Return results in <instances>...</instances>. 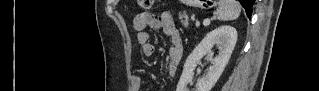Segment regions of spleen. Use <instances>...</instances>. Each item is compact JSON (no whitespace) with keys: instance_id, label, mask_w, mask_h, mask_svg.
Returning a JSON list of instances; mask_svg holds the SVG:
<instances>
[{"instance_id":"spleen-1","label":"spleen","mask_w":319,"mask_h":91,"mask_svg":"<svg viewBox=\"0 0 319 91\" xmlns=\"http://www.w3.org/2000/svg\"><path fill=\"white\" fill-rule=\"evenodd\" d=\"M217 19L220 21L235 20L239 17L241 6L236 0H220Z\"/></svg>"}]
</instances>
